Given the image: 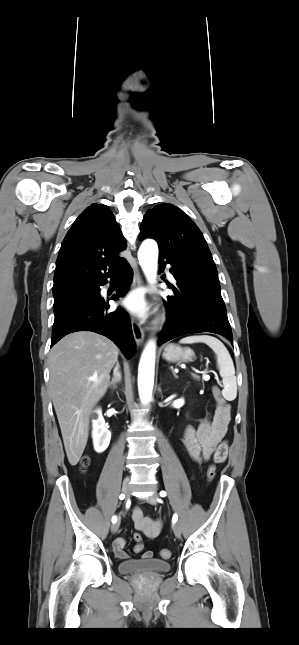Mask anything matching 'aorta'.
<instances>
[{
    "instance_id": "1",
    "label": "aorta",
    "mask_w": 299,
    "mask_h": 645,
    "mask_svg": "<svg viewBox=\"0 0 299 645\" xmlns=\"http://www.w3.org/2000/svg\"><path fill=\"white\" fill-rule=\"evenodd\" d=\"M138 260L148 282L156 283L158 246L154 240L148 239L141 244ZM155 353V342L150 340L142 353L138 368V390L142 403H148L152 399Z\"/></svg>"
}]
</instances>
